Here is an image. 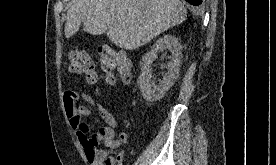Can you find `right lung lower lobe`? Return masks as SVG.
Segmentation results:
<instances>
[{"mask_svg":"<svg viewBox=\"0 0 276 165\" xmlns=\"http://www.w3.org/2000/svg\"><path fill=\"white\" fill-rule=\"evenodd\" d=\"M186 1L195 6L200 5L202 3V0H186Z\"/></svg>","mask_w":276,"mask_h":165,"instance_id":"1","label":"right lung lower lobe"}]
</instances>
